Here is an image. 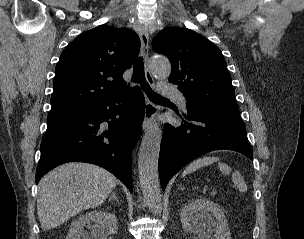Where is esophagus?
<instances>
[{
  "label": "esophagus",
  "instance_id": "obj_1",
  "mask_svg": "<svg viewBox=\"0 0 304 239\" xmlns=\"http://www.w3.org/2000/svg\"><path fill=\"white\" fill-rule=\"evenodd\" d=\"M140 41H141V49H142V55L144 58L145 62V77L147 79V82L151 85L154 86L155 82L153 79L152 74L150 73L149 69L147 68V61L149 57V33L146 28H142L140 30ZM158 112V107L154 103H152L147 97L145 99V115H144V120H143V130L147 131L151 126L152 123L155 119V116Z\"/></svg>",
  "mask_w": 304,
  "mask_h": 239
}]
</instances>
